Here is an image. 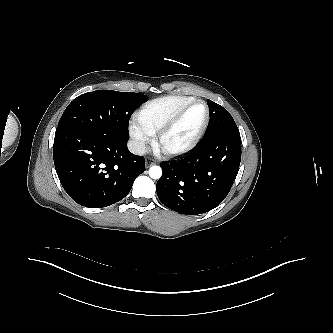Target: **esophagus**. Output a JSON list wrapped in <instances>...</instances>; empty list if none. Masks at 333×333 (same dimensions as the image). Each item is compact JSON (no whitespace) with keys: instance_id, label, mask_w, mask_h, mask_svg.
<instances>
[{"instance_id":"1","label":"esophagus","mask_w":333,"mask_h":333,"mask_svg":"<svg viewBox=\"0 0 333 333\" xmlns=\"http://www.w3.org/2000/svg\"><path fill=\"white\" fill-rule=\"evenodd\" d=\"M152 165H154V162L151 159L146 160V163H145L146 168H149Z\"/></svg>"}]
</instances>
